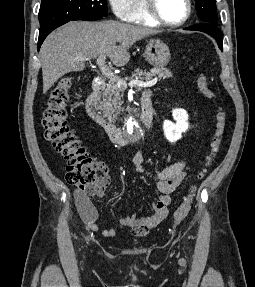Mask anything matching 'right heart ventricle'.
Listing matches in <instances>:
<instances>
[{
    "label": "right heart ventricle",
    "mask_w": 255,
    "mask_h": 287,
    "mask_svg": "<svg viewBox=\"0 0 255 287\" xmlns=\"http://www.w3.org/2000/svg\"><path fill=\"white\" fill-rule=\"evenodd\" d=\"M114 33V32H110ZM124 33H144V32H124ZM110 39H115V38H110ZM130 39H157V38H130ZM154 48H168V47H154Z\"/></svg>",
    "instance_id": "e07e8e85"
}]
</instances>
